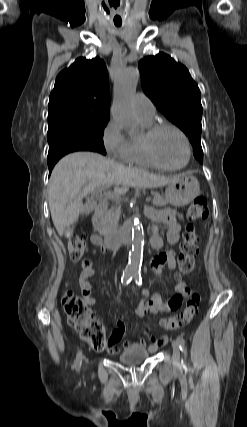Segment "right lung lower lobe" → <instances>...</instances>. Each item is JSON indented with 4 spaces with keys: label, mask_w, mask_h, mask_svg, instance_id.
<instances>
[{
    "label": "right lung lower lobe",
    "mask_w": 247,
    "mask_h": 427,
    "mask_svg": "<svg viewBox=\"0 0 247 427\" xmlns=\"http://www.w3.org/2000/svg\"><path fill=\"white\" fill-rule=\"evenodd\" d=\"M75 151H95V150L88 145L75 142V141H57L50 144L48 158H47L49 174L51 173L54 165L57 163V161L61 157Z\"/></svg>",
    "instance_id": "1"
}]
</instances>
